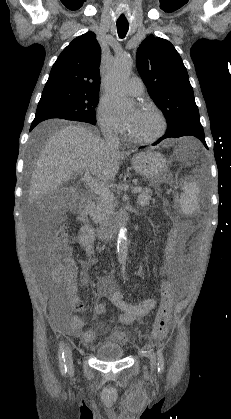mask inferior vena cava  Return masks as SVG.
Wrapping results in <instances>:
<instances>
[{
	"label": "inferior vena cava",
	"mask_w": 231,
	"mask_h": 419,
	"mask_svg": "<svg viewBox=\"0 0 231 419\" xmlns=\"http://www.w3.org/2000/svg\"><path fill=\"white\" fill-rule=\"evenodd\" d=\"M105 142L108 148L112 150L119 149V138L112 130H107L104 132Z\"/></svg>",
	"instance_id": "obj_1"
}]
</instances>
